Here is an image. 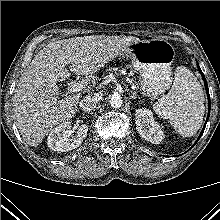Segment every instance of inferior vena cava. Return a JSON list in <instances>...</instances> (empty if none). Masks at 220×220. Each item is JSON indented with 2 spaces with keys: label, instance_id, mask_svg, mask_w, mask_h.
I'll return each mask as SVG.
<instances>
[{
  "label": "inferior vena cava",
  "instance_id": "602c4592",
  "mask_svg": "<svg viewBox=\"0 0 220 220\" xmlns=\"http://www.w3.org/2000/svg\"><path fill=\"white\" fill-rule=\"evenodd\" d=\"M100 99L101 96L98 93L86 95L80 101L79 106L81 110L85 112H90L96 108Z\"/></svg>",
  "mask_w": 220,
  "mask_h": 220
}]
</instances>
